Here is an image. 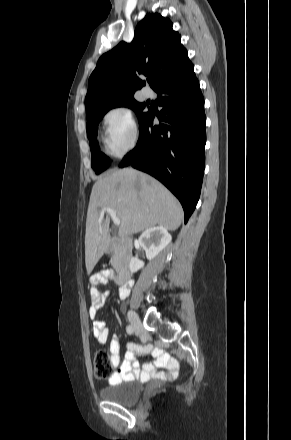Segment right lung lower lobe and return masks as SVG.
<instances>
[{
  "instance_id": "1",
  "label": "right lung lower lobe",
  "mask_w": 291,
  "mask_h": 440,
  "mask_svg": "<svg viewBox=\"0 0 291 440\" xmlns=\"http://www.w3.org/2000/svg\"><path fill=\"white\" fill-rule=\"evenodd\" d=\"M163 109L142 117L137 146L120 167L131 165L161 181L181 202L185 223L199 200L205 163L204 98L193 65L155 90Z\"/></svg>"
}]
</instances>
